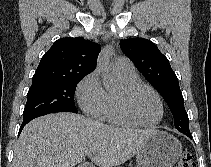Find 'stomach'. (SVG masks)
<instances>
[{"label": "stomach", "mask_w": 211, "mask_h": 167, "mask_svg": "<svg viewBox=\"0 0 211 167\" xmlns=\"http://www.w3.org/2000/svg\"><path fill=\"white\" fill-rule=\"evenodd\" d=\"M182 149L173 135L155 130L136 155L137 167H173L182 155Z\"/></svg>", "instance_id": "obj_1"}]
</instances>
